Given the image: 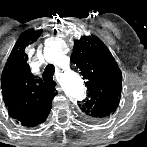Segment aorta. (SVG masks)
Listing matches in <instances>:
<instances>
[{"mask_svg":"<svg viewBox=\"0 0 147 147\" xmlns=\"http://www.w3.org/2000/svg\"><path fill=\"white\" fill-rule=\"evenodd\" d=\"M68 79H69V82L72 83L74 93L77 94L78 89H81V87H82V82H81L80 77L73 72H69ZM65 83H66L67 87H69V85H68L69 83H67L66 81H65Z\"/></svg>","mask_w":147,"mask_h":147,"instance_id":"1","label":"aorta"}]
</instances>
